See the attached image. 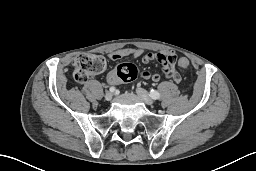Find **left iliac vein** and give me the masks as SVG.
Listing matches in <instances>:
<instances>
[{
  "mask_svg": "<svg viewBox=\"0 0 256 171\" xmlns=\"http://www.w3.org/2000/svg\"><path fill=\"white\" fill-rule=\"evenodd\" d=\"M136 92L138 94V96L147 104V105H153L154 104V100L152 99V97L148 94V92L143 89V88H137Z\"/></svg>",
  "mask_w": 256,
  "mask_h": 171,
  "instance_id": "4c4485c4",
  "label": "left iliac vein"
}]
</instances>
